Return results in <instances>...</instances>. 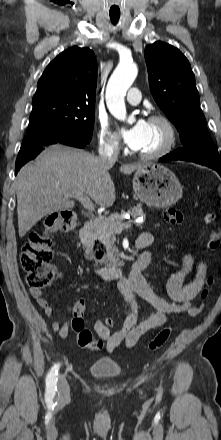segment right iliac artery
<instances>
[{"mask_svg": "<svg viewBox=\"0 0 221 440\" xmlns=\"http://www.w3.org/2000/svg\"><path fill=\"white\" fill-rule=\"evenodd\" d=\"M59 367H60L59 363L55 364L51 368V370L46 378V395L49 398L54 397V395L57 391L56 384H57V379H58L57 376H58Z\"/></svg>", "mask_w": 221, "mask_h": 440, "instance_id": "1", "label": "right iliac artery"}]
</instances>
